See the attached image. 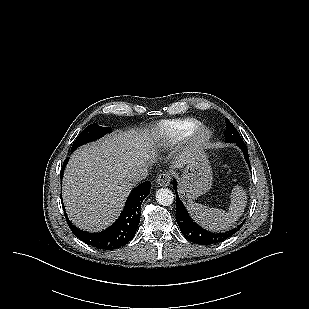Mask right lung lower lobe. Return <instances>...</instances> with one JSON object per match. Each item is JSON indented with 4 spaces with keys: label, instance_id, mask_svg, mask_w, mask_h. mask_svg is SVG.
<instances>
[{
    "label": "right lung lower lobe",
    "instance_id": "98d812e1",
    "mask_svg": "<svg viewBox=\"0 0 309 309\" xmlns=\"http://www.w3.org/2000/svg\"><path fill=\"white\" fill-rule=\"evenodd\" d=\"M73 151L74 150H71V152ZM68 159L69 158L63 163L61 179ZM150 189L151 182L149 181L143 182L133 189L119 218L113 223V225L102 232L89 233L82 231L75 227L65 214L67 223L74 235L88 245L103 250L120 248L123 245H126L135 236L140 222V207L143 199L150 194Z\"/></svg>",
    "mask_w": 309,
    "mask_h": 309
}]
</instances>
